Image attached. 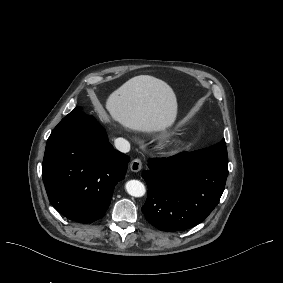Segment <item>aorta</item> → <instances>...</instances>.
<instances>
[{"mask_svg": "<svg viewBox=\"0 0 283 283\" xmlns=\"http://www.w3.org/2000/svg\"><path fill=\"white\" fill-rule=\"evenodd\" d=\"M125 188L128 194L134 197H142L146 192L144 184L138 180L128 181Z\"/></svg>", "mask_w": 283, "mask_h": 283, "instance_id": "obj_1", "label": "aorta"}]
</instances>
